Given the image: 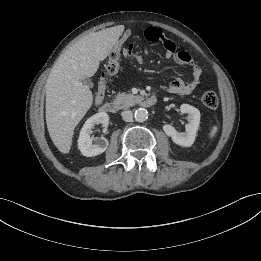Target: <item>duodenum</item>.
I'll list each match as a JSON object with an SVG mask.
<instances>
[{
    "instance_id": "410a0bca",
    "label": "duodenum",
    "mask_w": 261,
    "mask_h": 261,
    "mask_svg": "<svg viewBox=\"0 0 261 261\" xmlns=\"http://www.w3.org/2000/svg\"><path fill=\"white\" fill-rule=\"evenodd\" d=\"M157 103V97L155 95L144 98L141 101V105L146 108H150ZM100 111L103 113H115L118 111V105L115 102H105L100 107Z\"/></svg>"
}]
</instances>
